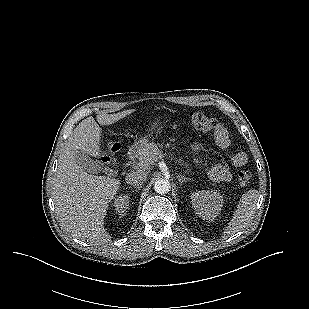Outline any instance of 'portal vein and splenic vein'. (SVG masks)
<instances>
[{"label": "portal vein and splenic vein", "instance_id": "1", "mask_svg": "<svg viewBox=\"0 0 309 309\" xmlns=\"http://www.w3.org/2000/svg\"><path fill=\"white\" fill-rule=\"evenodd\" d=\"M138 165H139V166H142V167L145 166V165H143L142 163H139Z\"/></svg>", "mask_w": 309, "mask_h": 309}]
</instances>
